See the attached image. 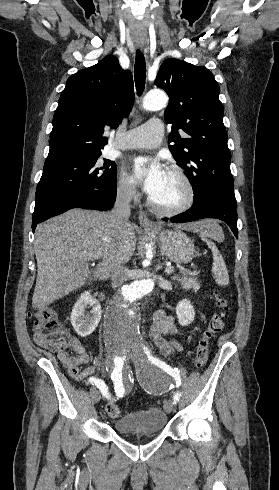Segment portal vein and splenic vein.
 Masks as SVG:
<instances>
[{"label":"portal vein and splenic vein","instance_id":"obj_1","mask_svg":"<svg viewBox=\"0 0 279 490\" xmlns=\"http://www.w3.org/2000/svg\"><path fill=\"white\" fill-rule=\"evenodd\" d=\"M165 272H166V274H172V272H173L172 266H168V268H166Z\"/></svg>","mask_w":279,"mask_h":490}]
</instances>
